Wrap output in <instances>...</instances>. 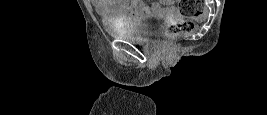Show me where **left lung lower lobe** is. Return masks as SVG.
<instances>
[{"label":"left lung lower lobe","instance_id":"0a47b994","mask_svg":"<svg viewBox=\"0 0 267 115\" xmlns=\"http://www.w3.org/2000/svg\"><path fill=\"white\" fill-rule=\"evenodd\" d=\"M152 89H159V86L151 87Z\"/></svg>","mask_w":267,"mask_h":115}]
</instances>
